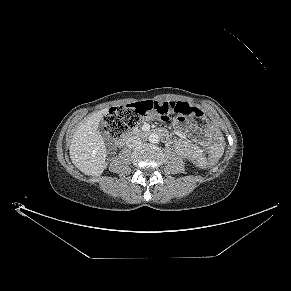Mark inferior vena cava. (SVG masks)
Wrapping results in <instances>:
<instances>
[{"mask_svg": "<svg viewBox=\"0 0 291 291\" xmlns=\"http://www.w3.org/2000/svg\"><path fill=\"white\" fill-rule=\"evenodd\" d=\"M141 138L138 136H131L126 140L127 147H136L141 144Z\"/></svg>", "mask_w": 291, "mask_h": 291, "instance_id": "inferior-vena-cava-1", "label": "inferior vena cava"}]
</instances>
